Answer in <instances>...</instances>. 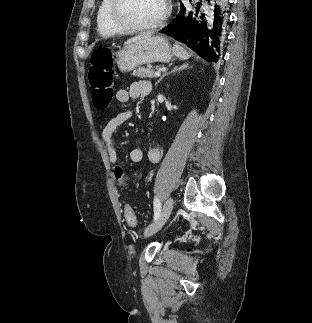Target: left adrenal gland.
<instances>
[{
  "label": "left adrenal gland",
  "mask_w": 312,
  "mask_h": 323,
  "mask_svg": "<svg viewBox=\"0 0 312 323\" xmlns=\"http://www.w3.org/2000/svg\"><path fill=\"white\" fill-rule=\"evenodd\" d=\"M186 68H188V64H183V66H180V68H177V66H175L174 70H172V72H180V70H186ZM192 68V66H191ZM172 72H170V74H172ZM165 76H168L167 72H165V74H163V76H161V78H159V80H157L155 86H157V84H160L161 80H163V78H165Z\"/></svg>",
  "instance_id": "a2214340"
}]
</instances>
